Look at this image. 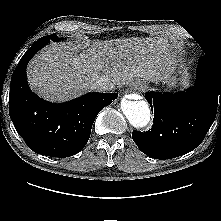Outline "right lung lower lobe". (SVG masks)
Here are the masks:
<instances>
[{"label":"right lung lower lobe","instance_id":"obj_1","mask_svg":"<svg viewBox=\"0 0 221 221\" xmlns=\"http://www.w3.org/2000/svg\"><path fill=\"white\" fill-rule=\"evenodd\" d=\"M50 41L37 40L23 55L11 78L10 118L27 146L34 152L52 157L77 154L88 142L98 113L111 104L117 93H88L67 103L43 100L31 91L26 80L30 58Z\"/></svg>","mask_w":221,"mask_h":221}]
</instances>
